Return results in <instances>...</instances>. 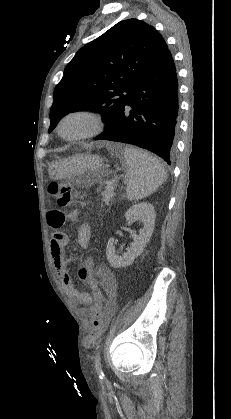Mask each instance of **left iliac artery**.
<instances>
[{
    "mask_svg": "<svg viewBox=\"0 0 231 419\" xmlns=\"http://www.w3.org/2000/svg\"><path fill=\"white\" fill-rule=\"evenodd\" d=\"M95 368L99 377L104 376V373L101 368V356L99 351L97 352L95 357Z\"/></svg>",
    "mask_w": 231,
    "mask_h": 419,
    "instance_id": "44dca946",
    "label": "left iliac artery"
}]
</instances>
